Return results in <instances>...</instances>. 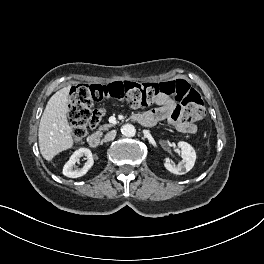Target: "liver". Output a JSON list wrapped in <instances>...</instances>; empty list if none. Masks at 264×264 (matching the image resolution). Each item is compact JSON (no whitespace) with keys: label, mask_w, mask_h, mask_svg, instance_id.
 Returning a JSON list of instances; mask_svg holds the SVG:
<instances>
[{"label":"liver","mask_w":264,"mask_h":264,"mask_svg":"<svg viewBox=\"0 0 264 264\" xmlns=\"http://www.w3.org/2000/svg\"><path fill=\"white\" fill-rule=\"evenodd\" d=\"M70 89V85L64 87L49 99L40 120L39 148L47 161L73 146L72 130L66 116Z\"/></svg>","instance_id":"obj_1"}]
</instances>
